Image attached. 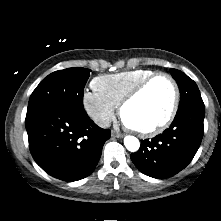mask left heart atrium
Returning <instances> with one entry per match:
<instances>
[{
    "instance_id": "left-heart-atrium-1",
    "label": "left heart atrium",
    "mask_w": 221,
    "mask_h": 221,
    "mask_svg": "<svg viewBox=\"0 0 221 221\" xmlns=\"http://www.w3.org/2000/svg\"><path fill=\"white\" fill-rule=\"evenodd\" d=\"M123 122L126 126L131 127V125L127 121H125L124 119H123Z\"/></svg>"
}]
</instances>
